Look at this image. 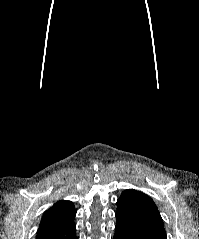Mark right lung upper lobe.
Here are the masks:
<instances>
[{
	"label": "right lung upper lobe",
	"instance_id": "cb5924a9",
	"mask_svg": "<svg viewBox=\"0 0 199 239\" xmlns=\"http://www.w3.org/2000/svg\"><path fill=\"white\" fill-rule=\"evenodd\" d=\"M75 207L71 201H60L48 209L41 220L40 226L57 224L74 218Z\"/></svg>",
	"mask_w": 199,
	"mask_h": 239
}]
</instances>
